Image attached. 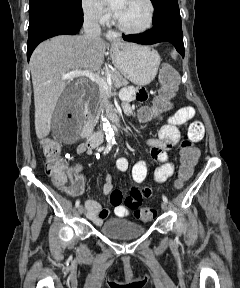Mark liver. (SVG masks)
<instances>
[{"instance_id":"6515ba94","label":"liver","mask_w":240,"mask_h":288,"mask_svg":"<svg viewBox=\"0 0 240 288\" xmlns=\"http://www.w3.org/2000/svg\"><path fill=\"white\" fill-rule=\"evenodd\" d=\"M106 44L88 41L84 35H60L42 42L30 59L35 104V131L38 139L49 135L51 118L67 83L63 74L74 70L96 72L104 60Z\"/></svg>"}]
</instances>
